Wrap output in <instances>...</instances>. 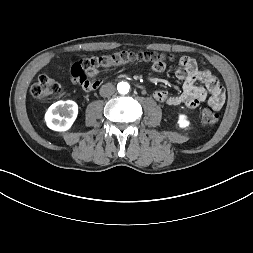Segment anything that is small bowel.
<instances>
[{"label":"small bowel","mask_w":253,"mask_h":253,"mask_svg":"<svg viewBox=\"0 0 253 253\" xmlns=\"http://www.w3.org/2000/svg\"><path fill=\"white\" fill-rule=\"evenodd\" d=\"M172 62L153 60L150 62V72L162 73L166 66ZM178 78L183 80L182 92L177 95H169L165 90H155L153 97L156 101L170 106L184 104L190 108L197 107L201 102L207 101L209 105L219 110L225 101V92L217 78L206 69L199 68L195 61L189 57L179 59V67L175 71ZM197 82L203 86L197 85Z\"/></svg>","instance_id":"c3829d8e"}]
</instances>
